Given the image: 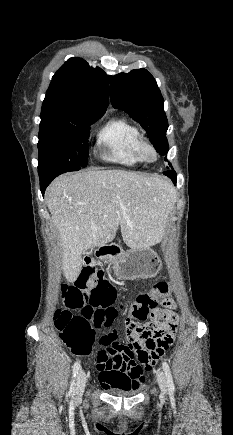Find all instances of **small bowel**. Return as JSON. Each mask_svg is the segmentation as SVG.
Instances as JSON below:
<instances>
[{
	"label": "small bowel",
	"mask_w": 233,
	"mask_h": 435,
	"mask_svg": "<svg viewBox=\"0 0 233 435\" xmlns=\"http://www.w3.org/2000/svg\"><path fill=\"white\" fill-rule=\"evenodd\" d=\"M116 293L117 284L111 280H108L106 282H94L88 287V289L83 291V295L87 299L96 294L116 295ZM161 303V311L150 322H148V324L152 325L154 328L157 329H160L165 324L177 327L179 317L175 312L172 311L175 308L173 299L170 297H164L161 300ZM117 336L118 335L116 331H111L110 333L103 336V338L109 339L113 343H115L117 340ZM95 365L98 371L99 382L105 389L120 388V384L116 380V376L118 375L125 376L128 386H131L134 383H139L143 380V373L146 371L143 366L138 364L134 366H127L124 362L123 356L118 353L109 355V357L105 361L96 362Z\"/></svg>",
	"instance_id": "obj_1"
}]
</instances>
